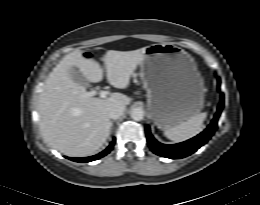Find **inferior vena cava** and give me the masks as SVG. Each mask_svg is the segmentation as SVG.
<instances>
[{
	"mask_svg": "<svg viewBox=\"0 0 260 205\" xmlns=\"http://www.w3.org/2000/svg\"><path fill=\"white\" fill-rule=\"evenodd\" d=\"M124 110H125V107L122 105L113 106V107L109 108L108 116L111 119H118L120 116L123 115Z\"/></svg>",
	"mask_w": 260,
	"mask_h": 205,
	"instance_id": "602c4592",
	"label": "inferior vena cava"
}]
</instances>
